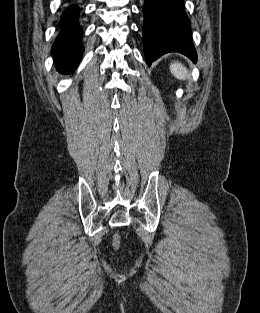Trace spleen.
<instances>
[{
    "instance_id": "obj_1",
    "label": "spleen",
    "mask_w": 260,
    "mask_h": 313,
    "mask_svg": "<svg viewBox=\"0 0 260 313\" xmlns=\"http://www.w3.org/2000/svg\"><path fill=\"white\" fill-rule=\"evenodd\" d=\"M170 71L174 77L185 80L189 76L187 69L179 62L170 64Z\"/></svg>"
}]
</instances>
